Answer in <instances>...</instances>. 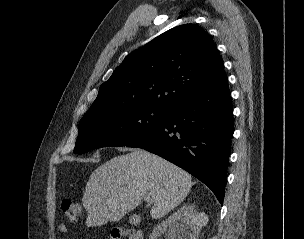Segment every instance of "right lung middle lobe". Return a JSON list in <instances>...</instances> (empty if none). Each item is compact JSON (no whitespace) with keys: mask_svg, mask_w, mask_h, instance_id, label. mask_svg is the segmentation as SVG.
<instances>
[{"mask_svg":"<svg viewBox=\"0 0 304 239\" xmlns=\"http://www.w3.org/2000/svg\"><path fill=\"white\" fill-rule=\"evenodd\" d=\"M166 113L164 108L136 106L84 117L79 123L74 153L82 154L107 146H126L161 125Z\"/></svg>","mask_w":304,"mask_h":239,"instance_id":"1","label":"right lung middle lobe"}]
</instances>
